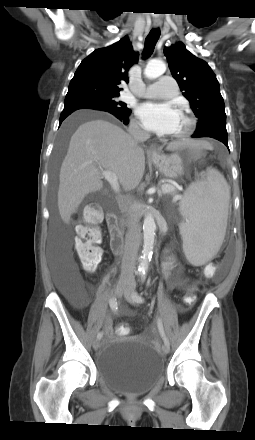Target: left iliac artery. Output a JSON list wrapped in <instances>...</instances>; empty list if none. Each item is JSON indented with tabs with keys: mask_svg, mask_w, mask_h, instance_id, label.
Wrapping results in <instances>:
<instances>
[{
	"mask_svg": "<svg viewBox=\"0 0 255 440\" xmlns=\"http://www.w3.org/2000/svg\"><path fill=\"white\" fill-rule=\"evenodd\" d=\"M144 280H145V277L143 276L142 277V282H144ZM134 299L136 300L137 303H143L144 302V298L141 297L138 294H135ZM157 326H158V330L160 332V335H161V337H162V339L164 341V344L170 345L169 340H168V338H167V336H166V334L164 332L163 324H162V321H161L160 318L157 321Z\"/></svg>",
	"mask_w": 255,
	"mask_h": 440,
	"instance_id": "left-iliac-artery-1",
	"label": "left iliac artery"
}]
</instances>
